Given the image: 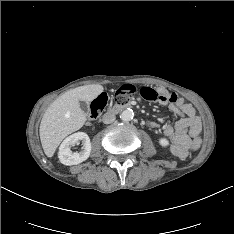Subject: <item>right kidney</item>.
Returning a JSON list of instances; mask_svg holds the SVG:
<instances>
[{
  "instance_id": "right-kidney-1",
  "label": "right kidney",
  "mask_w": 234,
  "mask_h": 234,
  "mask_svg": "<svg viewBox=\"0 0 234 234\" xmlns=\"http://www.w3.org/2000/svg\"><path fill=\"white\" fill-rule=\"evenodd\" d=\"M79 141L83 142V150L80 152H72L70 147ZM91 153V143L89 136L84 132H77L68 136L60 145L58 157L64 165H77L88 159Z\"/></svg>"
}]
</instances>
